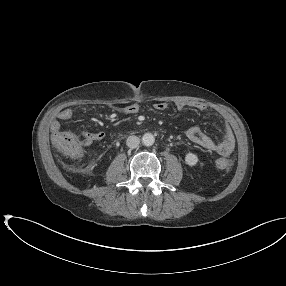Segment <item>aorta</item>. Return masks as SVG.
<instances>
[{
  "instance_id": "1",
  "label": "aorta",
  "mask_w": 286,
  "mask_h": 286,
  "mask_svg": "<svg viewBox=\"0 0 286 286\" xmlns=\"http://www.w3.org/2000/svg\"><path fill=\"white\" fill-rule=\"evenodd\" d=\"M155 142V137L153 134L151 133H145L143 136H142V143L145 145V146H152Z\"/></svg>"
}]
</instances>
